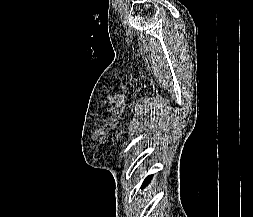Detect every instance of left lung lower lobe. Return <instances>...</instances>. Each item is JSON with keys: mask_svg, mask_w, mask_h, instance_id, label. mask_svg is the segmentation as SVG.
<instances>
[{"mask_svg": "<svg viewBox=\"0 0 253 217\" xmlns=\"http://www.w3.org/2000/svg\"><path fill=\"white\" fill-rule=\"evenodd\" d=\"M151 178H152V176H151V175H150V176H148V177L144 180L142 187L147 186V185H148V183L150 182Z\"/></svg>", "mask_w": 253, "mask_h": 217, "instance_id": "left-lung-lower-lobe-1", "label": "left lung lower lobe"}]
</instances>
